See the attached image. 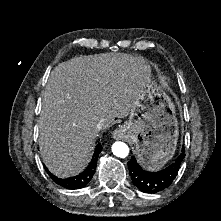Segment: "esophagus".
Wrapping results in <instances>:
<instances>
[{"label": "esophagus", "instance_id": "obj_1", "mask_svg": "<svg viewBox=\"0 0 221 221\" xmlns=\"http://www.w3.org/2000/svg\"><path fill=\"white\" fill-rule=\"evenodd\" d=\"M112 135H113V138H115V139L127 138V133H126V130L124 129V127L116 128L113 131Z\"/></svg>", "mask_w": 221, "mask_h": 221}]
</instances>
